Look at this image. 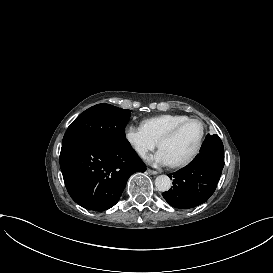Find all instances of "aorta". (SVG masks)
Listing matches in <instances>:
<instances>
[{
  "label": "aorta",
  "mask_w": 273,
  "mask_h": 273,
  "mask_svg": "<svg viewBox=\"0 0 273 273\" xmlns=\"http://www.w3.org/2000/svg\"><path fill=\"white\" fill-rule=\"evenodd\" d=\"M172 186V181L167 175H159L155 179V187L158 191L166 192Z\"/></svg>",
  "instance_id": "obj_1"
}]
</instances>
